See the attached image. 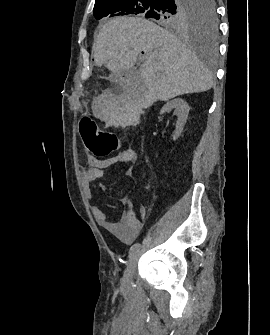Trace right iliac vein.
Instances as JSON below:
<instances>
[{
	"label": "right iliac vein",
	"instance_id": "63e3f726",
	"mask_svg": "<svg viewBox=\"0 0 270 335\" xmlns=\"http://www.w3.org/2000/svg\"><path fill=\"white\" fill-rule=\"evenodd\" d=\"M139 255H140V248L130 257V260L128 261L127 267L124 271L121 281V285L123 288L128 287V285L130 284Z\"/></svg>",
	"mask_w": 270,
	"mask_h": 335
}]
</instances>
